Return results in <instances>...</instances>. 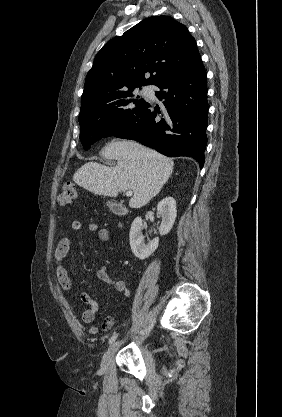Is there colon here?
Masks as SVG:
<instances>
[{
  "mask_svg": "<svg viewBox=\"0 0 282 417\" xmlns=\"http://www.w3.org/2000/svg\"><path fill=\"white\" fill-rule=\"evenodd\" d=\"M76 194L77 186L72 182H67L60 187L57 201L61 205L71 204L75 200Z\"/></svg>",
  "mask_w": 282,
  "mask_h": 417,
  "instance_id": "obj_1",
  "label": "colon"
}]
</instances>
